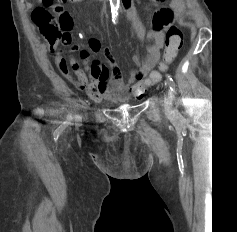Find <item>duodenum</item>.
<instances>
[{"mask_svg":"<svg viewBox=\"0 0 237 232\" xmlns=\"http://www.w3.org/2000/svg\"><path fill=\"white\" fill-rule=\"evenodd\" d=\"M98 1H105V0H98ZM123 5L128 8L131 4V0H122Z\"/></svg>","mask_w":237,"mask_h":232,"instance_id":"obj_1","label":"duodenum"}]
</instances>
